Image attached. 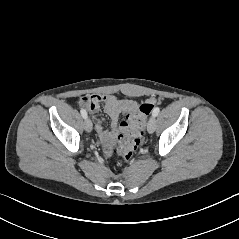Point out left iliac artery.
Wrapping results in <instances>:
<instances>
[{"mask_svg": "<svg viewBox=\"0 0 239 239\" xmlns=\"http://www.w3.org/2000/svg\"><path fill=\"white\" fill-rule=\"evenodd\" d=\"M159 112H160V108H159V107H156V108L153 110L152 115L156 117V116L159 114Z\"/></svg>", "mask_w": 239, "mask_h": 239, "instance_id": "44dca946", "label": "left iliac artery"}]
</instances>
